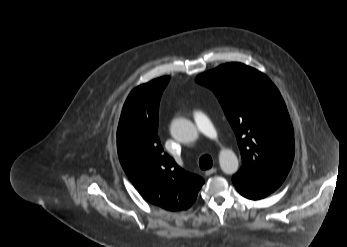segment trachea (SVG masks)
I'll use <instances>...</instances> for the list:
<instances>
[{"mask_svg": "<svg viewBox=\"0 0 347 247\" xmlns=\"http://www.w3.org/2000/svg\"><path fill=\"white\" fill-rule=\"evenodd\" d=\"M212 165L213 161L209 155H204L199 159V166L202 170L210 169Z\"/></svg>", "mask_w": 347, "mask_h": 247, "instance_id": "3493384b", "label": "trachea"}]
</instances>
